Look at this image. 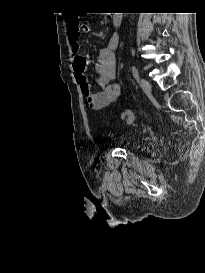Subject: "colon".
I'll return each mask as SVG.
<instances>
[{"label": "colon", "mask_w": 205, "mask_h": 273, "mask_svg": "<svg viewBox=\"0 0 205 273\" xmlns=\"http://www.w3.org/2000/svg\"><path fill=\"white\" fill-rule=\"evenodd\" d=\"M74 27L80 28V27H82V24L81 23L74 24ZM133 118H134V114H133V112L131 110L125 109L122 112V120H123L124 123H126V124L132 123Z\"/></svg>", "instance_id": "5ec220e1"}]
</instances>
